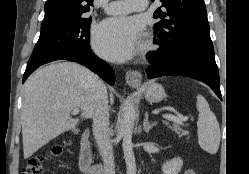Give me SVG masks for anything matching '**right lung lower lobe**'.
Here are the masks:
<instances>
[{
  "label": "right lung lower lobe",
  "instance_id": "obj_1",
  "mask_svg": "<svg viewBox=\"0 0 249 174\" xmlns=\"http://www.w3.org/2000/svg\"><path fill=\"white\" fill-rule=\"evenodd\" d=\"M69 60L78 62L89 68L94 73H97L101 78L111 85H114L115 75L112 68L104 61L100 60L92 50L70 52V51H51L40 54L32 59H29L23 76V82L28 76L39 66L54 61V60Z\"/></svg>",
  "mask_w": 249,
  "mask_h": 174
}]
</instances>
